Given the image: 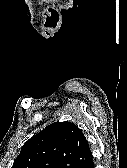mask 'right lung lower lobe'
Listing matches in <instances>:
<instances>
[{"label":"right lung lower lobe","mask_w":127,"mask_h":168,"mask_svg":"<svg viewBox=\"0 0 127 168\" xmlns=\"http://www.w3.org/2000/svg\"><path fill=\"white\" fill-rule=\"evenodd\" d=\"M75 168H94L93 159L90 158L88 160H85L84 162L78 164Z\"/></svg>","instance_id":"1"}]
</instances>
